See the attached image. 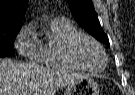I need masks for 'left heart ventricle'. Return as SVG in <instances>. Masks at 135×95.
<instances>
[{"instance_id":"b2bd125f","label":"left heart ventricle","mask_w":135,"mask_h":95,"mask_svg":"<svg viewBox=\"0 0 135 95\" xmlns=\"http://www.w3.org/2000/svg\"><path fill=\"white\" fill-rule=\"evenodd\" d=\"M76 55L86 66L99 69L104 64L100 50L91 42L82 40L76 47Z\"/></svg>"}]
</instances>
